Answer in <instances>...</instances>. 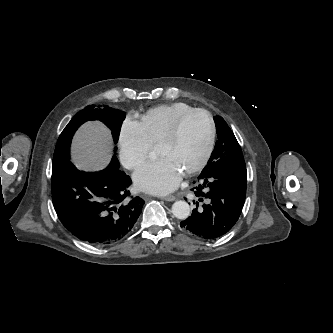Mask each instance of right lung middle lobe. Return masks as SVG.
<instances>
[{
  "label": "right lung middle lobe",
  "instance_id": "right-lung-middle-lobe-1",
  "mask_svg": "<svg viewBox=\"0 0 333 333\" xmlns=\"http://www.w3.org/2000/svg\"><path fill=\"white\" fill-rule=\"evenodd\" d=\"M124 118V112L108 106L103 109L94 108L93 105L85 107L72 118L58 138L54 151L53 164L69 158V147L72 136L84 122L89 120L102 121L107 127L111 128L114 142L116 143L119 139L121 124ZM114 150H116V147Z\"/></svg>",
  "mask_w": 333,
  "mask_h": 333
}]
</instances>
